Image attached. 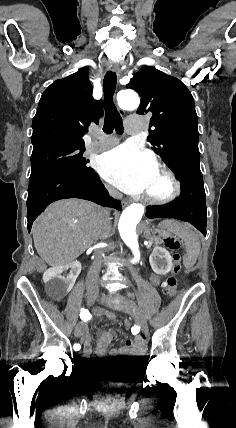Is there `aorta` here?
<instances>
[{"label": "aorta", "instance_id": "1", "mask_svg": "<svg viewBox=\"0 0 236 428\" xmlns=\"http://www.w3.org/2000/svg\"><path fill=\"white\" fill-rule=\"evenodd\" d=\"M117 101L120 107L126 110H135L138 108L140 99L138 94L133 90H122L117 95ZM145 207L142 204H131L122 212L118 230L124 243L131 249L133 258L131 263L136 264L140 261V249L136 226L140 222Z\"/></svg>", "mask_w": 236, "mask_h": 428}]
</instances>
